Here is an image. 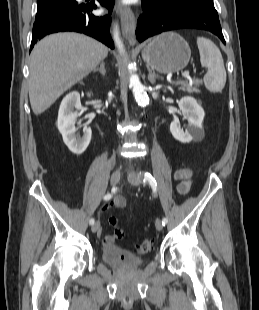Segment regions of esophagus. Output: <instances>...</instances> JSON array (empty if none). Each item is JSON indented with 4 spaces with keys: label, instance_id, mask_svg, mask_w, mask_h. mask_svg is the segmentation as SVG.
Wrapping results in <instances>:
<instances>
[{
    "label": "esophagus",
    "instance_id": "1",
    "mask_svg": "<svg viewBox=\"0 0 259 310\" xmlns=\"http://www.w3.org/2000/svg\"><path fill=\"white\" fill-rule=\"evenodd\" d=\"M115 10L121 18L122 32L124 37L128 40L130 45H135L136 20L134 13L129 7H125L120 3L117 4Z\"/></svg>",
    "mask_w": 259,
    "mask_h": 310
}]
</instances>
